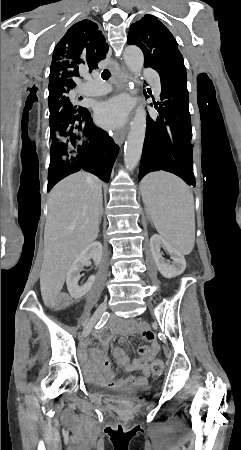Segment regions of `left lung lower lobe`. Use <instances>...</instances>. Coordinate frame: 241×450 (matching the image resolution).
<instances>
[{"instance_id":"obj_1","label":"left lung lower lobe","mask_w":241,"mask_h":450,"mask_svg":"<svg viewBox=\"0 0 241 450\" xmlns=\"http://www.w3.org/2000/svg\"><path fill=\"white\" fill-rule=\"evenodd\" d=\"M155 69L161 79L162 105L159 117L147 115L139 180L147 173L165 170L175 173L188 185L195 186L191 121L184 61L165 64Z\"/></svg>"}]
</instances>
